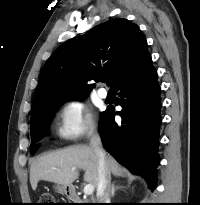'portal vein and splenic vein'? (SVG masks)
Instances as JSON below:
<instances>
[{
    "label": "portal vein and splenic vein",
    "instance_id": "18ae733b",
    "mask_svg": "<svg viewBox=\"0 0 200 205\" xmlns=\"http://www.w3.org/2000/svg\"><path fill=\"white\" fill-rule=\"evenodd\" d=\"M75 170V169H72ZM94 191V186L92 184H87L84 186V194L91 195Z\"/></svg>",
    "mask_w": 200,
    "mask_h": 205
}]
</instances>
